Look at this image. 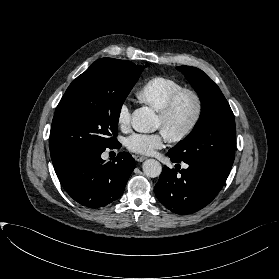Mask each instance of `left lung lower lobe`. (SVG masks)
I'll return each instance as SVG.
<instances>
[{
  "label": "left lung lower lobe",
  "mask_w": 279,
  "mask_h": 279,
  "mask_svg": "<svg viewBox=\"0 0 279 279\" xmlns=\"http://www.w3.org/2000/svg\"><path fill=\"white\" fill-rule=\"evenodd\" d=\"M172 162L179 163L168 154ZM187 169L178 170L164 167L155 185L158 200L170 211L187 215L208 205L221 190L229 174L206 165L187 163Z\"/></svg>",
  "instance_id": "1"
}]
</instances>
